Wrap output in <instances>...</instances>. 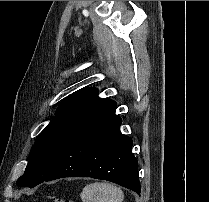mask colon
I'll use <instances>...</instances> for the list:
<instances>
[{
  "label": "colon",
  "instance_id": "obj_1",
  "mask_svg": "<svg viewBox=\"0 0 209 202\" xmlns=\"http://www.w3.org/2000/svg\"><path fill=\"white\" fill-rule=\"evenodd\" d=\"M53 202H74V201L66 198H56L53 200Z\"/></svg>",
  "mask_w": 209,
  "mask_h": 202
}]
</instances>
